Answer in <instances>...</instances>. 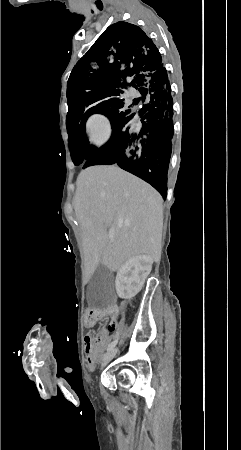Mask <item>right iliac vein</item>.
<instances>
[{"instance_id":"obj_1","label":"right iliac vein","mask_w":241,"mask_h":450,"mask_svg":"<svg viewBox=\"0 0 241 450\" xmlns=\"http://www.w3.org/2000/svg\"><path fill=\"white\" fill-rule=\"evenodd\" d=\"M118 349H112L107 354H105L102 362V366L106 365L109 361H111L117 354Z\"/></svg>"}]
</instances>
